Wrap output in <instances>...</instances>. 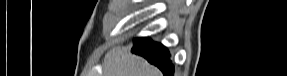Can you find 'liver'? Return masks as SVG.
I'll return each instance as SVG.
<instances>
[{"instance_id": "liver-1", "label": "liver", "mask_w": 287, "mask_h": 76, "mask_svg": "<svg viewBox=\"0 0 287 76\" xmlns=\"http://www.w3.org/2000/svg\"><path fill=\"white\" fill-rule=\"evenodd\" d=\"M104 76H162L144 58L131 53L128 47H115L103 59Z\"/></svg>"}]
</instances>
